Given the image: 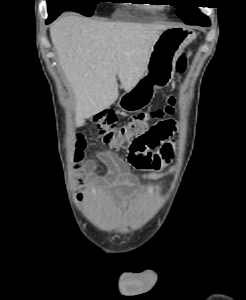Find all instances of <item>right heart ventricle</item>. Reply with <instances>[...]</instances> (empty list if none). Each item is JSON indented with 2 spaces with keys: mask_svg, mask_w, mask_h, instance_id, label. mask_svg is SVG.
I'll use <instances>...</instances> for the list:
<instances>
[{
  "mask_svg": "<svg viewBox=\"0 0 246 300\" xmlns=\"http://www.w3.org/2000/svg\"><path fill=\"white\" fill-rule=\"evenodd\" d=\"M147 10H148L149 12H152V11H153V8L147 7Z\"/></svg>",
  "mask_w": 246,
  "mask_h": 300,
  "instance_id": "right-heart-ventricle-1",
  "label": "right heart ventricle"
}]
</instances>
